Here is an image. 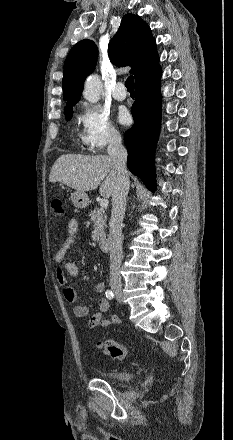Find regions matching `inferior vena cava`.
<instances>
[{
	"label": "inferior vena cava",
	"mask_w": 233,
	"mask_h": 440,
	"mask_svg": "<svg viewBox=\"0 0 233 440\" xmlns=\"http://www.w3.org/2000/svg\"><path fill=\"white\" fill-rule=\"evenodd\" d=\"M107 152L113 161L116 172V181L112 192V213L109 222L110 283L120 285V267L123 257L121 224L126 209V198L130 182L126 169L127 151L122 145L119 134L112 135Z\"/></svg>",
	"instance_id": "obj_1"
}]
</instances>
